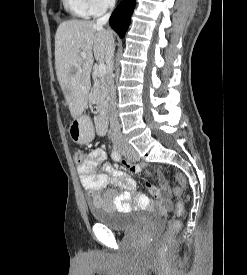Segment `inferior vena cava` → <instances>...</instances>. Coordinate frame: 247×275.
<instances>
[{"instance_id": "obj_1", "label": "inferior vena cava", "mask_w": 247, "mask_h": 275, "mask_svg": "<svg viewBox=\"0 0 247 275\" xmlns=\"http://www.w3.org/2000/svg\"><path fill=\"white\" fill-rule=\"evenodd\" d=\"M114 6H115V0H109L110 10H112ZM110 14H111V12L98 18L96 21V25L97 26L105 25L110 18ZM114 51H115L114 38H113L112 34H110L107 52H106V64L109 68V73L106 77V87H107L108 96H109V107H108L109 121H110L109 136H110V139H111L113 145L116 147L124 142V138L120 131V125H119L118 118H117L116 87L114 85V80H113V76H112L113 67H114V60H113Z\"/></svg>"}]
</instances>
